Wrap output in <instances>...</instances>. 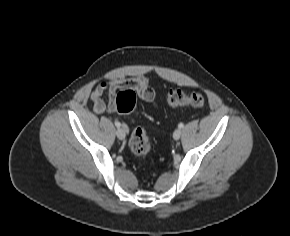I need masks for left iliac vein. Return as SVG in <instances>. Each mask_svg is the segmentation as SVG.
I'll use <instances>...</instances> for the list:
<instances>
[{
    "instance_id": "obj_1",
    "label": "left iliac vein",
    "mask_w": 290,
    "mask_h": 236,
    "mask_svg": "<svg viewBox=\"0 0 290 236\" xmlns=\"http://www.w3.org/2000/svg\"><path fill=\"white\" fill-rule=\"evenodd\" d=\"M181 134H182V131H181V129H176L175 131H174V133H173V138L175 139V140H178L180 137H181Z\"/></svg>"
}]
</instances>
